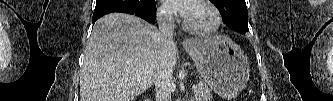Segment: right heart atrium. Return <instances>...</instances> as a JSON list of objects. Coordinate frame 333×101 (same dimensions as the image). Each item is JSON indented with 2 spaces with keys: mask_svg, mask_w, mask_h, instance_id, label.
I'll list each match as a JSON object with an SVG mask.
<instances>
[{
  "mask_svg": "<svg viewBox=\"0 0 333 101\" xmlns=\"http://www.w3.org/2000/svg\"><path fill=\"white\" fill-rule=\"evenodd\" d=\"M158 16L161 20H171L172 18V11L169 7L162 5L158 10Z\"/></svg>",
  "mask_w": 333,
  "mask_h": 101,
  "instance_id": "obj_1",
  "label": "right heart atrium"
}]
</instances>
